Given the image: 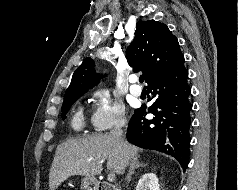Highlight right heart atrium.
Here are the masks:
<instances>
[{"label": "right heart atrium", "instance_id": "1", "mask_svg": "<svg viewBox=\"0 0 238 190\" xmlns=\"http://www.w3.org/2000/svg\"><path fill=\"white\" fill-rule=\"evenodd\" d=\"M90 113V125L95 132L103 133L126 124V113L123 105L111 99L104 90L94 92Z\"/></svg>", "mask_w": 238, "mask_h": 190}]
</instances>
